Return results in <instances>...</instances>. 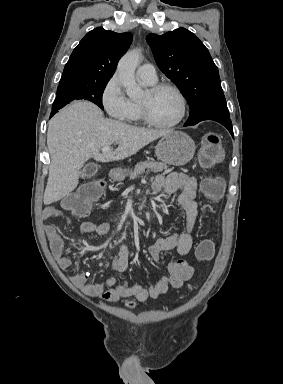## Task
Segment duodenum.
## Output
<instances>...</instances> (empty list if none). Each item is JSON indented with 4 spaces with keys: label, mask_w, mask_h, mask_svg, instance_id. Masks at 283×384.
<instances>
[{
    "label": "duodenum",
    "mask_w": 283,
    "mask_h": 384,
    "mask_svg": "<svg viewBox=\"0 0 283 384\" xmlns=\"http://www.w3.org/2000/svg\"><path fill=\"white\" fill-rule=\"evenodd\" d=\"M112 172H113V178L114 179H118L120 177V174H121V169L117 168V167H114L112 169Z\"/></svg>",
    "instance_id": "410a0bca"
}]
</instances>
